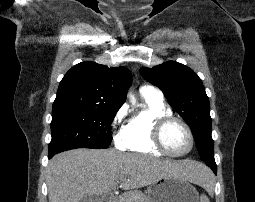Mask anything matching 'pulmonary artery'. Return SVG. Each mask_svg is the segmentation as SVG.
<instances>
[{
	"label": "pulmonary artery",
	"instance_id": "obj_1",
	"mask_svg": "<svg viewBox=\"0 0 255 202\" xmlns=\"http://www.w3.org/2000/svg\"><path fill=\"white\" fill-rule=\"evenodd\" d=\"M140 94L144 97H151V98H155L158 100L163 99L162 93L158 89H156L155 87L150 86V85L141 86Z\"/></svg>",
	"mask_w": 255,
	"mask_h": 202
}]
</instances>
